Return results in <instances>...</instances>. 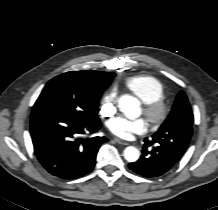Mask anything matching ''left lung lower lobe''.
<instances>
[{
  "label": "left lung lower lobe",
  "mask_w": 218,
  "mask_h": 210,
  "mask_svg": "<svg viewBox=\"0 0 218 210\" xmlns=\"http://www.w3.org/2000/svg\"><path fill=\"white\" fill-rule=\"evenodd\" d=\"M162 144L145 138L140 159L129 164V168L144 177H158L169 171L181 159L185 152L164 150Z\"/></svg>",
  "instance_id": "obj_1"
}]
</instances>
